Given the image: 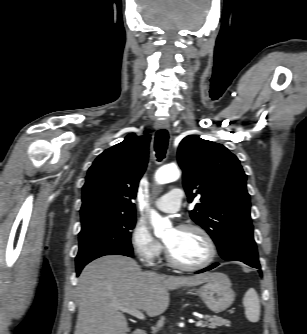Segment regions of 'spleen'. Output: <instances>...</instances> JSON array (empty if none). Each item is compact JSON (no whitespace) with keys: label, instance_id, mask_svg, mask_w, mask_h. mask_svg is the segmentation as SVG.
<instances>
[{"label":"spleen","instance_id":"spleen-1","mask_svg":"<svg viewBox=\"0 0 307 334\" xmlns=\"http://www.w3.org/2000/svg\"><path fill=\"white\" fill-rule=\"evenodd\" d=\"M243 305L246 317L250 322H258L260 318V301L254 288H249L244 295Z\"/></svg>","mask_w":307,"mask_h":334}]
</instances>
